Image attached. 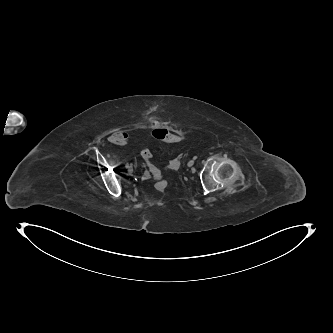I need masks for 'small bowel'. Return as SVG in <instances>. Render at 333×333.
<instances>
[{
  "instance_id": "1",
  "label": "small bowel",
  "mask_w": 333,
  "mask_h": 333,
  "mask_svg": "<svg viewBox=\"0 0 333 333\" xmlns=\"http://www.w3.org/2000/svg\"><path fill=\"white\" fill-rule=\"evenodd\" d=\"M154 131L151 132V138L156 140L153 136ZM109 141L114 144H124L127 139V134L124 130H115L108 137ZM145 177H148V174H145Z\"/></svg>"
}]
</instances>
